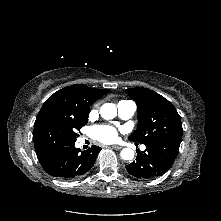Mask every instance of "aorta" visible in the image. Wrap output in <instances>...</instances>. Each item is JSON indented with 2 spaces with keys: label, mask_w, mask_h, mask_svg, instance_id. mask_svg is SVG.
<instances>
[{
  "label": "aorta",
  "mask_w": 221,
  "mask_h": 221,
  "mask_svg": "<svg viewBox=\"0 0 221 221\" xmlns=\"http://www.w3.org/2000/svg\"><path fill=\"white\" fill-rule=\"evenodd\" d=\"M100 114L104 119H113L117 114V108L113 103H105L100 108ZM120 155L123 160L129 161L134 158V151L130 148H124Z\"/></svg>",
  "instance_id": "1"
}]
</instances>
